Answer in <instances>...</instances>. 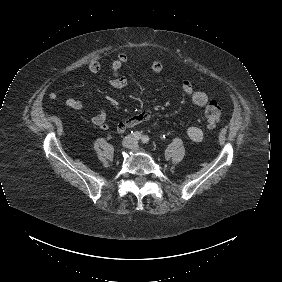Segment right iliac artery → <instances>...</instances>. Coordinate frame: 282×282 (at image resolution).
<instances>
[{
    "label": "right iliac artery",
    "mask_w": 282,
    "mask_h": 282,
    "mask_svg": "<svg viewBox=\"0 0 282 282\" xmlns=\"http://www.w3.org/2000/svg\"><path fill=\"white\" fill-rule=\"evenodd\" d=\"M131 134H132V137L136 140H139L141 138V134L138 131H134V132L132 131Z\"/></svg>",
    "instance_id": "1"
}]
</instances>
